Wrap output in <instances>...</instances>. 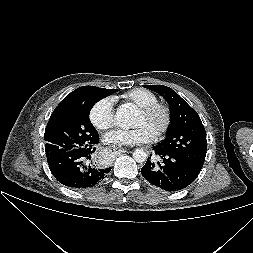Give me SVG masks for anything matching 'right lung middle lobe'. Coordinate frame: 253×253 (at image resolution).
<instances>
[{"mask_svg":"<svg viewBox=\"0 0 253 253\" xmlns=\"http://www.w3.org/2000/svg\"><path fill=\"white\" fill-rule=\"evenodd\" d=\"M115 92L117 89L83 86L67 95L46 126V156H58L92 144L98 132L90 123V110L96 102Z\"/></svg>","mask_w":253,"mask_h":253,"instance_id":"obj_1","label":"right lung middle lobe"}]
</instances>
